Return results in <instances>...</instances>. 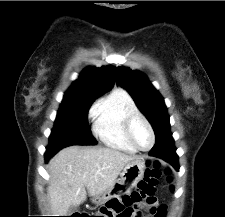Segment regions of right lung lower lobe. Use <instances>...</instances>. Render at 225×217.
Segmentation results:
<instances>
[{"mask_svg":"<svg viewBox=\"0 0 225 217\" xmlns=\"http://www.w3.org/2000/svg\"><path fill=\"white\" fill-rule=\"evenodd\" d=\"M60 149L59 148H52L47 147L45 153V161L47 162L53 155H55Z\"/></svg>","mask_w":225,"mask_h":217,"instance_id":"1","label":"right lung lower lobe"}]
</instances>
